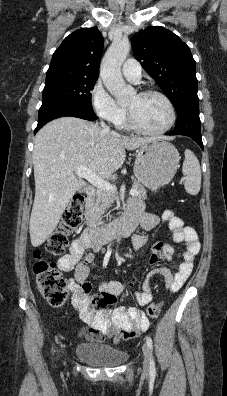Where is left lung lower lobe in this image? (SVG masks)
<instances>
[{
    "instance_id": "obj_1",
    "label": "left lung lower lobe",
    "mask_w": 227,
    "mask_h": 396,
    "mask_svg": "<svg viewBox=\"0 0 227 396\" xmlns=\"http://www.w3.org/2000/svg\"><path fill=\"white\" fill-rule=\"evenodd\" d=\"M178 120L174 130L165 135H184L191 137L203 150L200 131L199 103H190L177 112Z\"/></svg>"
}]
</instances>
